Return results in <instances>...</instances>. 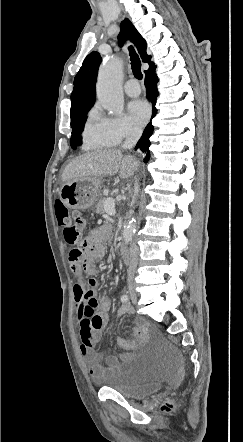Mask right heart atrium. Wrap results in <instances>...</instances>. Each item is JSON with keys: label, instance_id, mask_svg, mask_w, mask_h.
Listing matches in <instances>:
<instances>
[{"label": "right heart atrium", "instance_id": "obj_1", "mask_svg": "<svg viewBox=\"0 0 243 442\" xmlns=\"http://www.w3.org/2000/svg\"><path fill=\"white\" fill-rule=\"evenodd\" d=\"M102 120L105 131L116 143L135 138L140 133L139 128L126 116L103 117Z\"/></svg>", "mask_w": 243, "mask_h": 442}]
</instances>
